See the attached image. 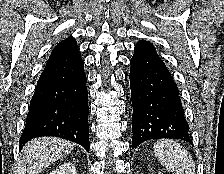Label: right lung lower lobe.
Returning a JSON list of instances; mask_svg holds the SVG:
<instances>
[{
    "label": "right lung lower lobe",
    "mask_w": 224,
    "mask_h": 174,
    "mask_svg": "<svg viewBox=\"0 0 224 174\" xmlns=\"http://www.w3.org/2000/svg\"><path fill=\"white\" fill-rule=\"evenodd\" d=\"M88 92L80 53L48 61L30 102L20 149L29 140L56 136L89 151Z\"/></svg>",
    "instance_id": "right-lung-lower-lobe-1"
}]
</instances>
